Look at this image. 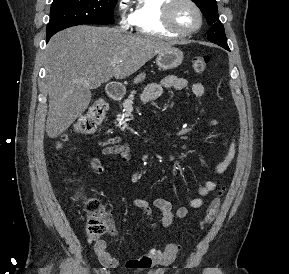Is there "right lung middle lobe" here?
<instances>
[{
  "label": "right lung middle lobe",
  "instance_id": "obj_1",
  "mask_svg": "<svg viewBox=\"0 0 289 274\" xmlns=\"http://www.w3.org/2000/svg\"><path fill=\"white\" fill-rule=\"evenodd\" d=\"M118 0H54L47 25V41L58 31L81 24H113Z\"/></svg>",
  "mask_w": 289,
  "mask_h": 274
}]
</instances>
